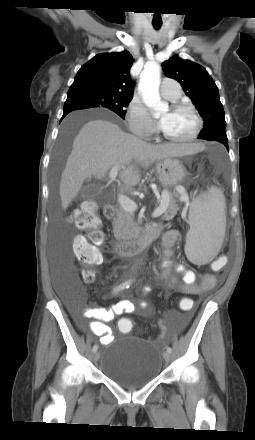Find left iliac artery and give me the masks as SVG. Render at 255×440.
I'll return each mask as SVG.
<instances>
[{"mask_svg": "<svg viewBox=\"0 0 255 440\" xmlns=\"http://www.w3.org/2000/svg\"><path fill=\"white\" fill-rule=\"evenodd\" d=\"M167 352L171 353L172 352V348L168 347L167 348Z\"/></svg>", "mask_w": 255, "mask_h": 440, "instance_id": "obj_1", "label": "left iliac artery"}]
</instances>
